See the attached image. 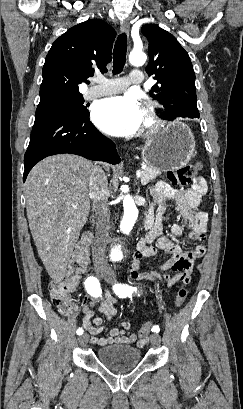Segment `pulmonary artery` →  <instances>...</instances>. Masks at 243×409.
I'll return each instance as SVG.
<instances>
[{
  "label": "pulmonary artery",
  "mask_w": 243,
  "mask_h": 409,
  "mask_svg": "<svg viewBox=\"0 0 243 409\" xmlns=\"http://www.w3.org/2000/svg\"><path fill=\"white\" fill-rule=\"evenodd\" d=\"M143 81V73L140 70H133L129 77L116 79H108L105 77H97L95 82L97 85L90 87L84 94L86 99H94L105 95L121 92L130 84H140Z\"/></svg>",
  "instance_id": "pulmonary-artery-1"
}]
</instances>
